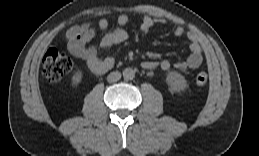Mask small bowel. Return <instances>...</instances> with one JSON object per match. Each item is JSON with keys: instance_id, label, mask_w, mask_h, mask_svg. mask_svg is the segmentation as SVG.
Here are the masks:
<instances>
[{"instance_id": "small-bowel-1", "label": "small bowel", "mask_w": 259, "mask_h": 156, "mask_svg": "<svg viewBox=\"0 0 259 156\" xmlns=\"http://www.w3.org/2000/svg\"><path fill=\"white\" fill-rule=\"evenodd\" d=\"M129 22V17L126 14H121L117 18L118 27L104 34L100 41L101 48H109L116 44H120L127 40L128 34L123 29ZM164 19H158L151 16H144L141 21V31L146 32L156 24H165ZM109 23L106 19L98 21L96 27L91 24L76 25L67 30L65 40L69 52L83 61H85L89 70L95 74H103L110 70L114 65L112 57L101 58L98 55L96 47L89 45L93 39L96 30L105 31L108 29ZM174 35L179 38H187L190 41V54L182 61L172 64L169 60L161 61H145L142 67L146 70L160 69L167 71L171 68L177 70H187L198 68L203 61L202 48L195 33L186 32L181 27L174 29Z\"/></svg>"}]
</instances>
